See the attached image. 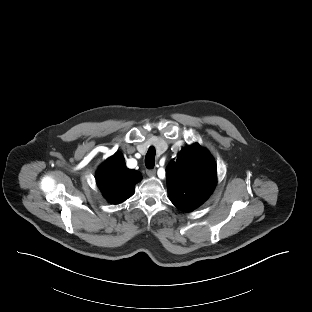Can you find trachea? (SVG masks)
Returning a JSON list of instances; mask_svg holds the SVG:
<instances>
[{"label": "trachea", "mask_w": 312, "mask_h": 312, "mask_svg": "<svg viewBox=\"0 0 312 312\" xmlns=\"http://www.w3.org/2000/svg\"><path fill=\"white\" fill-rule=\"evenodd\" d=\"M155 148L153 146H151L148 149V152L146 154V158H145V165L148 169H153L154 165H155Z\"/></svg>", "instance_id": "trachea-1"}]
</instances>
